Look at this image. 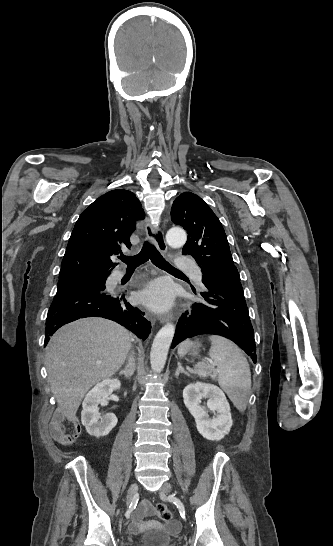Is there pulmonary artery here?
Segmentation results:
<instances>
[{"instance_id":"obj_1","label":"pulmonary artery","mask_w":333,"mask_h":546,"mask_svg":"<svg viewBox=\"0 0 333 546\" xmlns=\"http://www.w3.org/2000/svg\"><path fill=\"white\" fill-rule=\"evenodd\" d=\"M177 267L182 270H189L193 268V262L188 258L181 257L177 262ZM193 275L196 281L198 282L201 281V273L199 270L194 269ZM123 276H124V272L121 270H117L114 272L112 279L119 280Z\"/></svg>"}]
</instances>
